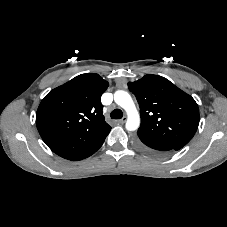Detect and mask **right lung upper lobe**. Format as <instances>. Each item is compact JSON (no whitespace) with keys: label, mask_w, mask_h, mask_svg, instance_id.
<instances>
[{"label":"right lung upper lobe","mask_w":227,"mask_h":227,"mask_svg":"<svg viewBox=\"0 0 227 227\" xmlns=\"http://www.w3.org/2000/svg\"><path fill=\"white\" fill-rule=\"evenodd\" d=\"M107 87L108 82L98 74H81L44 97L36 113V126L54 153L74 160L103 144L111 130L100 100Z\"/></svg>","instance_id":"cb5924a9"}]
</instances>
